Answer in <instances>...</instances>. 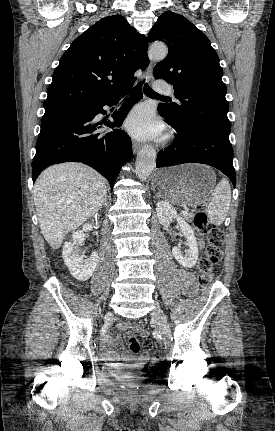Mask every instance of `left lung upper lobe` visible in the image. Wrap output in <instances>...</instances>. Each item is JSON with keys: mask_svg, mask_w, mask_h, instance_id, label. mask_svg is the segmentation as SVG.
Segmentation results:
<instances>
[{"mask_svg": "<svg viewBox=\"0 0 275 431\" xmlns=\"http://www.w3.org/2000/svg\"><path fill=\"white\" fill-rule=\"evenodd\" d=\"M148 40L167 44L168 55L156 64L153 75L173 84L180 101L160 104L163 117L179 127L230 131L223 69L209 39L185 17L167 11L152 27Z\"/></svg>", "mask_w": 275, "mask_h": 431, "instance_id": "obj_1", "label": "left lung upper lobe"}]
</instances>
